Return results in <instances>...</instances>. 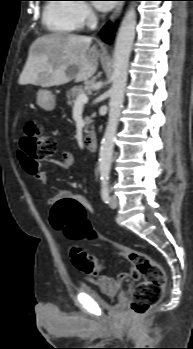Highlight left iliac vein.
<instances>
[{
  "label": "left iliac vein",
  "instance_id": "obj_1",
  "mask_svg": "<svg viewBox=\"0 0 193 349\" xmlns=\"http://www.w3.org/2000/svg\"><path fill=\"white\" fill-rule=\"evenodd\" d=\"M111 208H116L118 206V199L115 195H112L110 197V203H109Z\"/></svg>",
  "mask_w": 193,
  "mask_h": 349
}]
</instances>
